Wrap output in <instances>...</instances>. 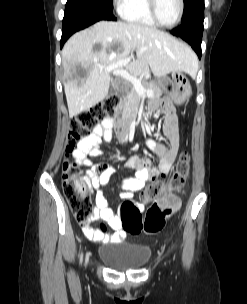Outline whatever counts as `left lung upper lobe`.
Instances as JSON below:
<instances>
[{
  "label": "left lung upper lobe",
  "instance_id": "obj_1",
  "mask_svg": "<svg viewBox=\"0 0 247 304\" xmlns=\"http://www.w3.org/2000/svg\"><path fill=\"white\" fill-rule=\"evenodd\" d=\"M204 12V0H184V11L181 24Z\"/></svg>",
  "mask_w": 247,
  "mask_h": 304
}]
</instances>
